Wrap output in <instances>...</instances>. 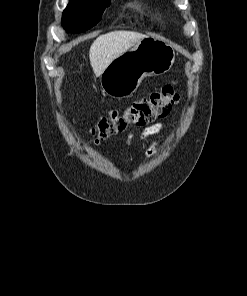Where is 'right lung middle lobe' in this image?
I'll return each instance as SVG.
<instances>
[{
  "label": "right lung middle lobe",
  "instance_id": "1",
  "mask_svg": "<svg viewBox=\"0 0 247 296\" xmlns=\"http://www.w3.org/2000/svg\"><path fill=\"white\" fill-rule=\"evenodd\" d=\"M110 0H70L62 15L66 31L79 33L96 25Z\"/></svg>",
  "mask_w": 247,
  "mask_h": 296
}]
</instances>
